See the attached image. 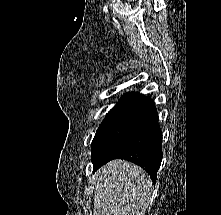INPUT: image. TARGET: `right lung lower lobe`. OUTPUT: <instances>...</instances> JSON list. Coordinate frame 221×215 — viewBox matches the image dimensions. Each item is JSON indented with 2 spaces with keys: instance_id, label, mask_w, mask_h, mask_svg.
Returning <instances> with one entry per match:
<instances>
[{
  "instance_id": "obj_1",
  "label": "right lung lower lobe",
  "mask_w": 221,
  "mask_h": 215,
  "mask_svg": "<svg viewBox=\"0 0 221 215\" xmlns=\"http://www.w3.org/2000/svg\"><path fill=\"white\" fill-rule=\"evenodd\" d=\"M162 133L151 98L133 100L92 153L93 170L113 159L141 166L155 182L162 161Z\"/></svg>"
}]
</instances>
